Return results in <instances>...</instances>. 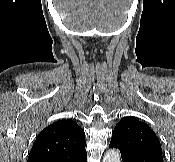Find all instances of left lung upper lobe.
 <instances>
[{
    "label": "left lung upper lobe",
    "instance_id": "obj_1",
    "mask_svg": "<svg viewBox=\"0 0 175 162\" xmlns=\"http://www.w3.org/2000/svg\"><path fill=\"white\" fill-rule=\"evenodd\" d=\"M110 146L129 157L142 153L162 154L160 141L152 129L131 116L123 118L115 126Z\"/></svg>",
    "mask_w": 175,
    "mask_h": 162
}]
</instances>
